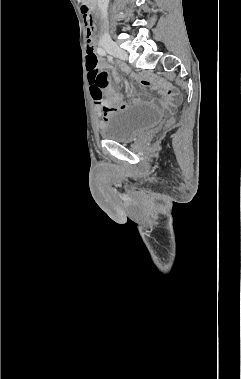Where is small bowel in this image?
I'll return each mask as SVG.
<instances>
[{
	"instance_id": "1",
	"label": "small bowel",
	"mask_w": 241,
	"mask_h": 379,
	"mask_svg": "<svg viewBox=\"0 0 241 379\" xmlns=\"http://www.w3.org/2000/svg\"><path fill=\"white\" fill-rule=\"evenodd\" d=\"M91 29V33H93V28L90 27ZM100 70V69H99ZM104 72V71H103ZM107 76V73L104 72ZM115 81L117 83L120 82V79L118 76H115ZM139 83L142 87H150L152 86L154 89L156 90H160L163 92L164 94V97H165V106L168 107V108H175L178 103H179V99L177 98V96L172 93L170 87L168 85H165L163 83H160V82H152L150 81L149 79H146V78H140L139 79ZM104 89H108L107 90V97H108V100L111 101V102H120L121 100V97L119 94L115 93L112 89L109 88V79H108V76H107V85ZM103 89V90H104ZM91 92H92V96H93V99L95 101V104H96V109H97V113L100 117H102V119L105 121L108 119L109 117V110L105 109L104 106L101 104V102L95 97L94 93H93V89H91ZM126 107L125 104L123 103H119L118 104V109H124Z\"/></svg>"
}]
</instances>
